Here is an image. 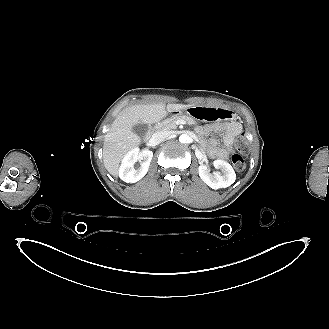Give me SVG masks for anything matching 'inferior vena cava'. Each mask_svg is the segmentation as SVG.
Wrapping results in <instances>:
<instances>
[{
    "label": "inferior vena cava",
    "instance_id": "602c4592",
    "mask_svg": "<svg viewBox=\"0 0 329 329\" xmlns=\"http://www.w3.org/2000/svg\"><path fill=\"white\" fill-rule=\"evenodd\" d=\"M170 132L169 131H165V130H162V131H158V132H155L153 135H152V141L155 143V144H159L163 141H165L166 139H168L170 137Z\"/></svg>",
    "mask_w": 329,
    "mask_h": 329
}]
</instances>
